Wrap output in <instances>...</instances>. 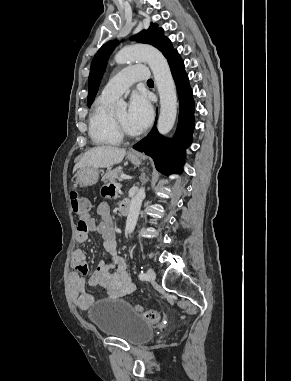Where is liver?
<instances>
[{
  "mask_svg": "<svg viewBox=\"0 0 291 381\" xmlns=\"http://www.w3.org/2000/svg\"><path fill=\"white\" fill-rule=\"evenodd\" d=\"M126 154L125 149L113 146H97L84 153L73 172L83 168H108L119 164Z\"/></svg>",
  "mask_w": 291,
  "mask_h": 381,
  "instance_id": "liver-1",
  "label": "liver"
}]
</instances>
